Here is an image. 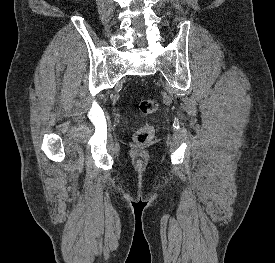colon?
I'll list each match as a JSON object with an SVG mask.
<instances>
[{
    "mask_svg": "<svg viewBox=\"0 0 275 263\" xmlns=\"http://www.w3.org/2000/svg\"><path fill=\"white\" fill-rule=\"evenodd\" d=\"M141 114L149 115L156 111L157 103L153 99H142L138 103ZM154 136V128L150 124H145L138 128L134 134V141L138 145H146Z\"/></svg>",
    "mask_w": 275,
    "mask_h": 263,
    "instance_id": "obj_1",
    "label": "colon"
}]
</instances>
